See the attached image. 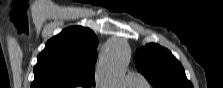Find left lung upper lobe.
<instances>
[{"label":"left lung upper lobe","mask_w":223,"mask_h":88,"mask_svg":"<svg viewBox=\"0 0 223 88\" xmlns=\"http://www.w3.org/2000/svg\"><path fill=\"white\" fill-rule=\"evenodd\" d=\"M134 62L153 88H193L181 63L169 50L157 44L138 49Z\"/></svg>","instance_id":"1"}]
</instances>
